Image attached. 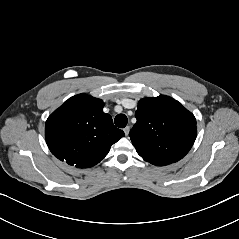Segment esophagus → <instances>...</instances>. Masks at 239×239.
Returning a JSON list of instances; mask_svg holds the SVG:
<instances>
[{
	"label": "esophagus",
	"instance_id": "34e87169",
	"mask_svg": "<svg viewBox=\"0 0 239 239\" xmlns=\"http://www.w3.org/2000/svg\"><path fill=\"white\" fill-rule=\"evenodd\" d=\"M129 131H130V126H126V127L124 128V133H125L126 136H128Z\"/></svg>",
	"mask_w": 239,
	"mask_h": 239
}]
</instances>
